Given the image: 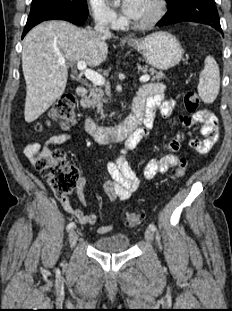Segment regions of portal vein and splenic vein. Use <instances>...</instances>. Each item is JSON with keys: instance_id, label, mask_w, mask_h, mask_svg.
<instances>
[{"instance_id": "obj_1", "label": "portal vein and splenic vein", "mask_w": 232, "mask_h": 311, "mask_svg": "<svg viewBox=\"0 0 232 311\" xmlns=\"http://www.w3.org/2000/svg\"><path fill=\"white\" fill-rule=\"evenodd\" d=\"M58 63L60 65H64L65 64V59L61 58L59 59ZM77 68L80 71L84 72L85 77L90 80L94 85H104L105 84V79L102 77V75H100L99 73L91 70V69H87V64L85 61H78L77 63ZM150 80V76L149 75H142L140 77V82L145 83L148 82Z\"/></svg>"}]
</instances>
